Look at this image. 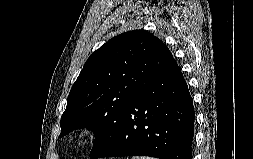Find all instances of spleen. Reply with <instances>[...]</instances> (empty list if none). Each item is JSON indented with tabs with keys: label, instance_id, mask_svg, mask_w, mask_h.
Wrapping results in <instances>:
<instances>
[{
	"label": "spleen",
	"instance_id": "spleen-1",
	"mask_svg": "<svg viewBox=\"0 0 253 159\" xmlns=\"http://www.w3.org/2000/svg\"><path fill=\"white\" fill-rule=\"evenodd\" d=\"M132 159H157V158L145 157V156H133Z\"/></svg>",
	"mask_w": 253,
	"mask_h": 159
}]
</instances>
